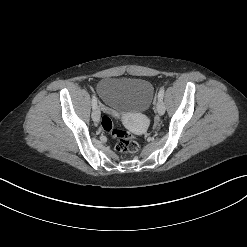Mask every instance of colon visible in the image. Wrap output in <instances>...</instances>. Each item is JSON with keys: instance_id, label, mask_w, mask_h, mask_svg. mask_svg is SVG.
Here are the masks:
<instances>
[{"instance_id": "colon-1", "label": "colon", "mask_w": 247, "mask_h": 247, "mask_svg": "<svg viewBox=\"0 0 247 247\" xmlns=\"http://www.w3.org/2000/svg\"><path fill=\"white\" fill-rule=\"evenodd\" d=\"M101 126L103 130L110 133L116 139V150L118 152L131 154L138 150V143L134 140L133 136L127 131L115 128L110 116H103Z\"/></svg>"}]
</instances>
